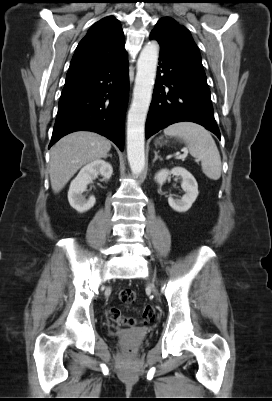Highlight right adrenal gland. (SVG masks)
Instances as JSON below:
<instances>
[{
    "instance_id": "2a0ac1e0",
    "label": "right adrenal gland",
    "mask_w": 272,
    "mask_h": 401,
    "mask_svg": "<svg viewBox=\"0 0 272 401\" xmlns=\"http://www.w3.org/2000/svg\"><path fill=\"white\" fill-rule=\"evenodd\" d=\"M107 157H112V154L107 155Z\"/></svg>"
}]
</instances>
